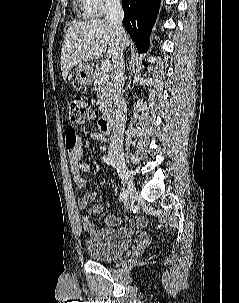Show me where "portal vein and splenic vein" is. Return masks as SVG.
I'll return each mask as SVG.
<instances>
[{"label":"portal vein and splenic vein","mask_w":239,"mask_h":303,"mask_svg":"<svg viewBox=\"0 0 239 303\" xmlns=\"http://www.w3.org/2000/svg\"><path fill=\"white\" fill-rule=\"evenodd\" d=\"M111 68V63L109 60L102 61L100 69L103 72H108Z\"/></svg>","instance_id":"portal-vein-and-splenic-vein-1"}]
</instances>
